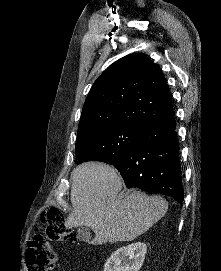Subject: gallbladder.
Returning <instances> with one entry per match:
<instances>
[{
    "instance_id": "1",
    "label": "gallbladder",
    "mask_w": 221,
    "mask_h": 271,
    "mask_svg": "<svg viewBox=\"0 0 221 271\" xmlns=\"http://www.w3.org/2000/svg\"><path fill=\"white\" fill-rule=\"evenodd\" d=\"M77 235L79 237V241H90V227H87V225L77 227Z\"/></svg>"
}]
</instances>
